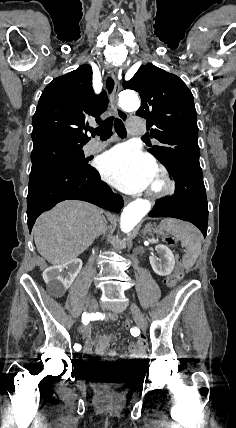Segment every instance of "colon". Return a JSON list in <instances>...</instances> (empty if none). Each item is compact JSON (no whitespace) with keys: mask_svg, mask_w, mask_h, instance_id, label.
<instances>
[{"mask_svg":"<svg viewBox=\"0 0 236 428\" xmlns=\"http://www.w3.org/2000/svg\"><path fill=\"white\" fill-rule=\"evenodd\" d=\"M166 243L168 245H174L175 244V240L173 238H167L166 239ZM184 274V269L181 266V264H177L174 272L166 279V285L170 288L174 287L175 284L181 279V277ZM125 328H129L130 327V323L129 322H125L124 324Z\"/></svg>","mask_w":236,"mask_h":428,"instance_id":"5ec220e1","label":"colon"}]
</instances>
